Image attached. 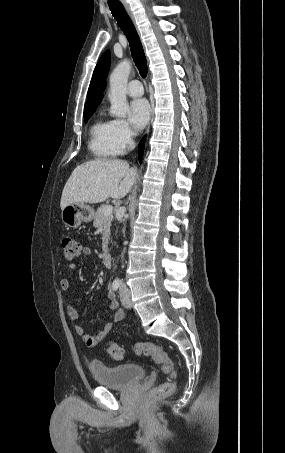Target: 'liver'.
<instances>
[{"mask_svg": "<svg viewBox=\"0 0 285 453\" xmlns=\"http://www.w3.org/2000/svg\"><path fill=\"white\" fill-rule=\"evenodd\" d=\"M137 170L128 162L97 159L77 166L64 186L60 207L73 203H100L121 199L132 189Z\"/></svg>", "mask_w": 285, "mask_h": 453, "instance_id": "6515ba94", "label": "liver"}]
</instances>
